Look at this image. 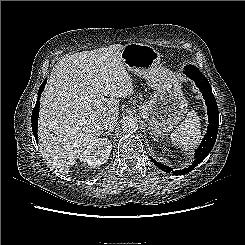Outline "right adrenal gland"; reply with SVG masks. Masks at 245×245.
<instances>
[{
	"mask_svg": "<svg viewBox=\"0 0 245 245\" xmlns=\"http://www.w3.org/2000/svg\"><path fill=\"white\" fill-rule=\"evenodd\" d=\"M112 131H113V130H110V131H107V132L103 133V136H105V135L112 136Z\"/></svg>",
	"mask_w": 245,
	"mask_h": 245,
	"instance_id": "obj_1",
	"label": "right adrenal gland"
}]
</instances>
